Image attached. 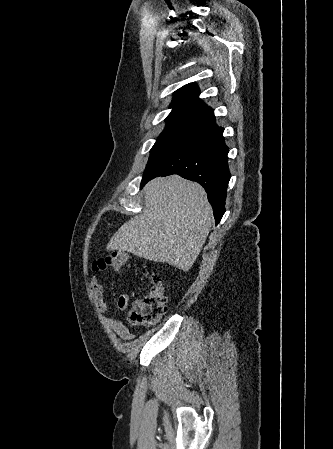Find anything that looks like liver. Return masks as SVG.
I'll return each instance as SVG.
<instances>
[{"label":"liver","instance_id":"6515ba94","mask_svg":"<svg viewBox=\"0 0 333 449\" xmlns=\"http://www.w3.org/2000/svg\"><path fill=\"white\" fill-rule=\"evenodd\" d=\"M145 207L113 235L108 250L128 251L188 271L210 232L212 208L201 185L178 175L144 187Z\"/></svg>","mask_w":333,"mask_h":449}]
</instances>
